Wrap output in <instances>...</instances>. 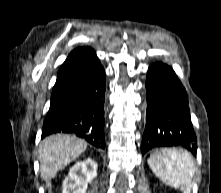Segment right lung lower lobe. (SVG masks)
<instances>
[{"mask_svg": "<svg viewBox=\"0 0 221 193\" xmlns=\"http://www.w3.org/2000/svg\"><path fill=\"white\" fill-rule=\"evenodd\" d=\"M105 88V71L98 59L62 94L51 100L42 138L55 133H71L104 149Z\"/></svg>", "mask_w": 221, "mask_h": 193, "instance_id": "98d812e1", "label": "right lung lower lobe"}]
</instances>
